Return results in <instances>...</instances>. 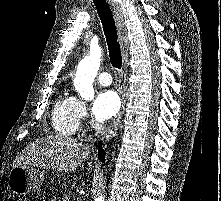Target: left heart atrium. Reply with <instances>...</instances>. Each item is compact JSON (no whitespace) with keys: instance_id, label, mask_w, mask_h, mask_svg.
<instances>
[{"instance_id":"1","label":"left heart atrium","mask_w":221,"mask_h":201,"mask_svg":"<svg viewBox=\"0 0 221 201\" xmlns=\"http://www.w3.org/2000/svg\"><path fill=\"white\" fill-rule=\"evenodd\" d=\"M120 107V100L116 92L103 90L96 96L91 112L95 120L102 122L112 118Z\"/></svg>"}]
</instances>
